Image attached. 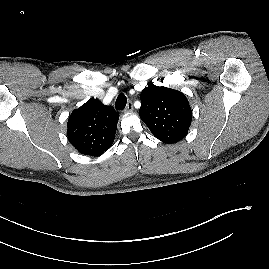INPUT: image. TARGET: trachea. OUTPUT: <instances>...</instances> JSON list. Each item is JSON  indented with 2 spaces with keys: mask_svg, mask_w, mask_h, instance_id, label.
Listing matches in <instances>:
<instances>
[{
  "mask_svg": "<svg viewBox=\"0 0 269 269\" xmlns=\"http://www.w3.org/2000/svg\"><path fill=\"white\" fill-rule=\"evenodd\" d=\"M127 98L123 93H120L116 99V109L123 110L126 106Z\"/></svg>",
  "mask_w": 269,
  "mask_h": 269,
  "instance_id": "1",
  "label": "trachea"
}]
</instances>
